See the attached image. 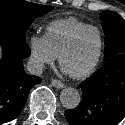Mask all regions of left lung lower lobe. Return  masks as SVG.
<instances>
[{
    "mask_svg": "<svg viewBox=\"0 0 125 125\" xmlns=\"http://www.w3.org/2000/svg\"><path fill=\"white\" fill-rule=\"evenodd\" d=\"M79 105L65 111L70 125H116L125 117V53L109 59L81 85Z\"/></svg>",
    "mask_w": 125,
    "mask_h": 125,
    "instance_id": "left-lung-lower-lobe-1",
    "label": "left lung lower lobe"
}]
</instances>
